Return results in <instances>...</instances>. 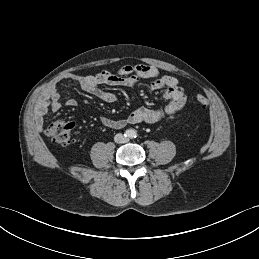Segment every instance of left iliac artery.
I'll use <instances>...</instances> for the list:
<instances>
[{
	"label": "left iliac artery",
	"mask_w": 259,
	"mask_h": 259,
	"mask_svg": "<svg viewBox=\"0 0 259 259\" xmlns=\"http://www.w3.org/2000/svg\"><path fill=\"white\" fill-rule=\"evenodd\" d=\"M133 137H136V133H133Z\"/></svg>",
	"instance_id": "left-iliac-artery-1"
}]
</instances>
